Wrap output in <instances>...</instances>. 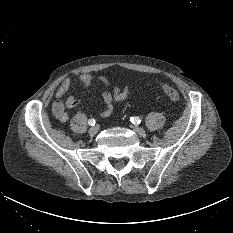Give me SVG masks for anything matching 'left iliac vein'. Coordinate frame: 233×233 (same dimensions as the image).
<instances>
[{
	"label": "left iliac vein",
	"mask_w": 233,
	"mask_h": 233,
	"mask_svg": "<svg viewBox=\"0 0 233 233\" xmlns=\"http://www.w3.org/2000/svg\"><path fill=\"white\" fill-rule=\"evenodd\" d=\"M134 132H136L138 135L143 136L145 135V130L138 126H131Z\"/></svg>",
	"instance_id": "obj_1"
}]
</instances>
